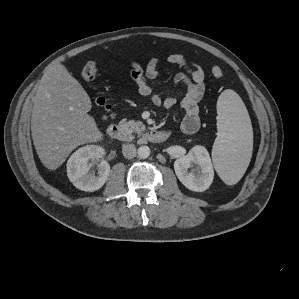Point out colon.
<instances>
[{
    "mask_svg": "<svg viewBox=\"0 0 299 299\" xmlns=\"http://www.w3.org/2000/svg\"><path fill=\"white\" fill-rule=\"evenodd\" d=\"M97 70V63L95 61H89L81 70V78L86 82L92 81L96 77ZM211 74L215 78H221L223 76V70L220 66H213ZM96 102L98 106L105 110V117L110 118L113 114L111 106H109L103 98L97 99Z\"/></svg>",
    "mask_w": 299,
    "mask_h": 299,
    "instance_id": "colon-1",
    "label": "colon"
}]
</instances>
